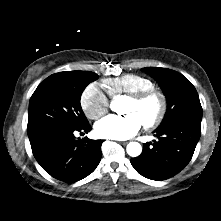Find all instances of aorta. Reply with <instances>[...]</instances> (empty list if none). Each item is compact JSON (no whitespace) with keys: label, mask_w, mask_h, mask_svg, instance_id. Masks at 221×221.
Wrapping results in <instances>:
<instances>
[{"label":"aorta","mask_w":221,"mask_h":221,"mask_svg":"<svg viewBox=\"0 0 221 221\" xmlns=\"http://www.w3.org/2000/svg\"><path fill=\"white\" fill-rule=\"evenodd\" d=\"M115 106V101L111 103V108L113 109ZM127 153L131 157H137L141 154L142 152V147L138 142H130L127 145Z\"/></svg>","instance_id":"aorta-1"}]
</instances>
